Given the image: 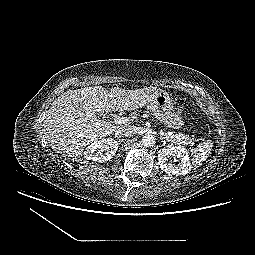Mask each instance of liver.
Masks as SVG:
<instances>
[{
	"instance_id": "6515ba94",
	"label": "liver",
	"mask_w": 255,
	"mask_h": 255,
	"mask_svg": "<svg viewBox=\"0 0 255 255\" xmlns=\"http://www.w3.org/2000/svg\"><path fill=\"white\" fill-rule=\"evenodd\" d=\"M157 87L136 90L102 86L69 90L55 99L44 121L47 142L69 158H80L83 148L113 134L127 124L116 125L97 114L109 111H132L148 105Z\"/></svg>"
}]
</instances>
